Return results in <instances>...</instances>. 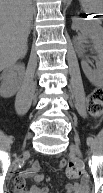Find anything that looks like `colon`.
Here are the masks:
<instances>
[{"instance_id": "obj_1", "label": "colon", "mask_w": 103, "mask_h": 193, "mask_svg": "<svg viewBox=\"0 0 103 193\" xmlns=\"http://www.w3.org/2000/svg\"><path fill=\"white\" fill-rule=\"evenodd\" d=\"M88 110L91 116L98 118L103 112V89L95 88L88 96ZM65 168L66 175L70 178L78 177L80 174V167L73 162H62Z\"/></svg>"}]
</instances>
